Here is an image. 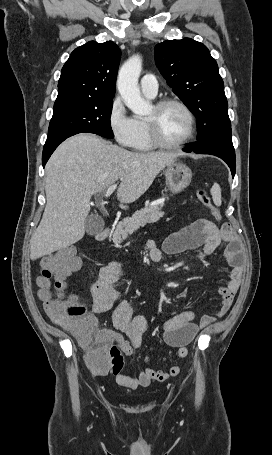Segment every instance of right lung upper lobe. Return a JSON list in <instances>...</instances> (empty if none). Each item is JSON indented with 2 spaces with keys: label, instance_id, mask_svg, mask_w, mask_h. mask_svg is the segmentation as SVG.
Returning <instances> with one entry per match:
<instances>
[{
  "label": "right lung upper lobe",
  "instance_id": "cb5924a9",
  "mask_svg": "<svg viewBox=\"0 0 272 455\" xmlns=\"http://www.w3.org/2000/svg\"><path fill=\"white\" fill-rule=\"evenodd\" d=\"M120 59L121 51L112 41H90L76 48L62 68L56 101L113 98Z\"/></svg>",
  "mask_w": 272,
  "mask_h": 455
}]
</instances>
